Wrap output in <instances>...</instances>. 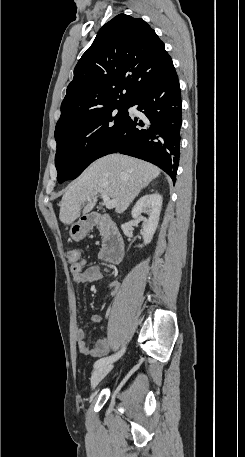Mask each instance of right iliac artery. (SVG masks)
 I'll return each instance as SVG.
<instances>
[{"label": "right iliac artery", "mask_w": 245, "mask_h": 457, "mask_svg": "<svg viewBox=\"0 0 245 457\" xmlns=\"http://www.w3.org/2000/svg\"><path fill=\"white\" fill-rule=\"evenodd\" d=\"M124 351H125V348H122L121 351H119L118 353H116V354H114V355L100 358L99 360H97V361L95 362L94 368H97V367H100V366H102V365H105V364H109V363L114 362L115 360H117L118 358L121 357V355L124 353Z\"/></svg>", "instance_id": "right-iliac-artery-1"}]
</instances>
